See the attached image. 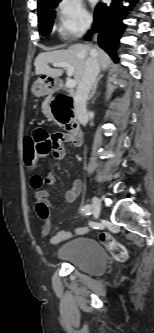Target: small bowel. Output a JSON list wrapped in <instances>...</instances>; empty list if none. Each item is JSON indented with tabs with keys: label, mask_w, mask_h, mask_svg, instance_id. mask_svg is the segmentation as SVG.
I'll return each mask as SVG.
<instances>
[{
	"label": "small bowel",
	"mask_w": 154,
	"mask_h": 333,
	"mask_svg": "<svg viewBox=\"0 0 154 333\" xmlns=\"http://www.w3.org/2000/svg\"><path fill=\"white\" fill-rule=\"evenodd\" d=\"M32 137L36 144V153L38 158L52 157L54 160H61L65 156V142H71L78 146L81 144V138L75 137L71 132H56L49 134L44 129L38 128L34 130ZM56 178L52 173L45 176L33 175L30 183L33 189L36 190L35 196L37 200L36 212L43 222L40 230V235L45 237L49 234L51 229V222L49 218V210L51 207L49 192L42 187L44 185H54ZM82 190V182L79 179H74L70 188L65 191L64 197L67 202H74ZM86 228H77L75 232H84ZM72 236L70 231H60L56 235L49 238L50 243L58 244L62 241L69 239Z\"/></svg>",
	"instance_id": "small-bowel-1"
}]
</instances>
